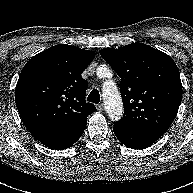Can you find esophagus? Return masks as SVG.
Instances as JSON below:
<instances>
[{
  "label": "esophagus",
  "instance_id": "34e87169",
  "mask_svg": "<svg viewBox=\"0 0 193 193\" xmlns=\"http://www.w3.org/2000/svg\"><path fill=\"white\" fill-rule=\"evenodd\" d=\"M97 110H98V112H102L104 110L103 104L97 105Z\"/></svg>",
  "mask_w": 193,
  "mask_h": 193
}]
</instances>
